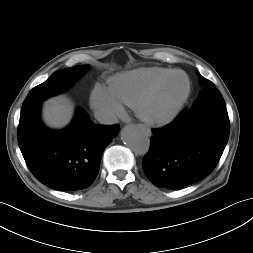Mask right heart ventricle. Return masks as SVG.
<instances>
[{
	"label": "right heart ventricle",
	"instance_id": "right-heart-ventricle-1",
	"mask_svg": "<svg viewBox=\"0 0 253 253\" xmlns=\"http://www.w3.org/2000/svg\"><path fill=\"white\" fill-rule=\"evenodd\" d=\"M175 70L162 67H144L113 77L109 88L114 96L129 107H137L141 97L159 80Z\"/></svg>",
	"mask_w": 253,
	"mask_h": 253
}]
</instances>
